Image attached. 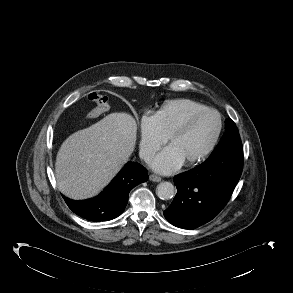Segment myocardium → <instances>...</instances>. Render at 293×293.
<instances>
[{
    "instance_id": "f54148a6",
    "label": "myocardium",
    "mask_w": 293,
    "mask_h": 293,
    "mask_svg": "<svg viewBox=\"0 0 293 293\" xmlns=\"http://www.w3.org/2000/svg\"><path fill=\"white\" fill-rule=\"evenodd\" d=\"M205 114H214L217 117V120H218L217 131H216L213 139L209 143V145L199 155H197L196 157H194L191 160L184 163V165L187 167L197 165L200 162H202L203 160H205L211 154V152L214 150V148L216 147V145L220 139L222 129H223V121H222V117H221L220 113L217 110L210 109V108H206L204 110L197 111V112L191 114L190 116H188L167 137V143L169 144L171 140H173L174 138L185 133L196 119H198L199 117H201Z\"/></svg>"
}]
</instances>
